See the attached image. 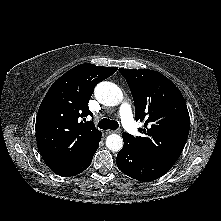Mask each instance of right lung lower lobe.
<instances>
[{
  "mask_svg": "<svg viewBox=\"0 0 221 221\" xmlns=\"http://www.w3.org/2000/svg\"><path fill=\"white\" fill-rule=\"evenodd\" d=\"M100 139L101 136L78 160L63 169L56 171L55 173L62 177H69L77 175L87 169L92 162V158L95 152L98 149Z\"/></svg>",
  "mask_w": 221,
  "mask_h": 221,
  "instance_id": "98d812e1",
  "label": "right lung lower lobe"
}]
</instances>
